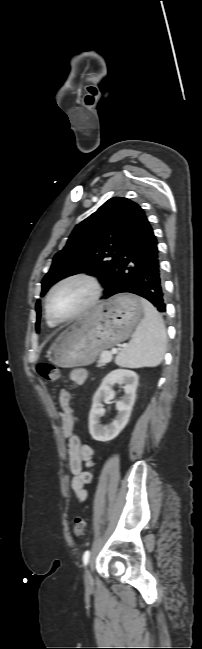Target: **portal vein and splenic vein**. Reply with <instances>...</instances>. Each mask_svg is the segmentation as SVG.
Here are the masks:
<instances>
[{
    "mask_svg": "<svg viewBox=\"0 0 202 649\" xmlns=\"http://www.w3.org/2000/svg\"><path fill=\"white\" fill-rule=\"evenodd\" d=\"M116 353H117V349H116V348H113L111 353H109V352H103V353L101 354V360H102L103 362L108 363V362H110V361L112 360V354H116Z\"/></svg>",
    "mask_w": 202,
    "mask_h": 649,
    "instance_id": "1",
    "label": "portal vein and splenic vein"
}]
</instances>
